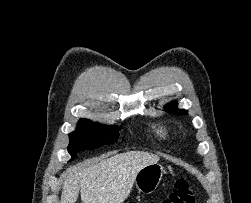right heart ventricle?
<instances>
[{
    "label": "right heart ventricle",
    "instance_id": "right-heart-ventricle-1",
    "mask_svg": "<svg viewBox=\"0 0 251 203\" xmlns=\"http://www.w3.org/2000/svg\"><path fill=\"white\" fill-rule=\"evenodd\" d=\"M155 132L157 136L165 138L168 134V129L165 125H157L155 128Z\"/></svg>",
    "mask_w": 251,
    "mask_h": 203
}]
</instances>
